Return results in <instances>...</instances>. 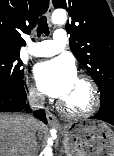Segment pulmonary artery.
I'll return each instance as SVG.
<instances>
[{
    "instance_id": "obj_1",
    "label": "pulmonary artery",
    "mask_w": 114,
    "mask_h": 156,
    "mask_svg": "<svg viewBox=\"0 0 114 156\" xmlns=\"http://www.w3.org/2000/svg\"><path fill=\"white\" fill-rule=\"evenodd\" d=\"M67 34L63 29L54 32L53 39L31 43L28 53L35 57H50L61 52L67 44Z\"/></svg>"
}]
</instances>
